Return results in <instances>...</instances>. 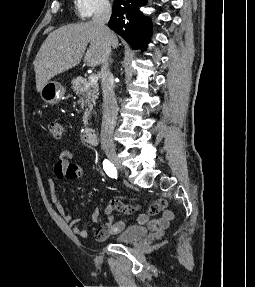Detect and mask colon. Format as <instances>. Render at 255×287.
I'll return each mask as SVG.
<instances>
[{
	"label": "colon",
	"mask_w": 255,
	"mask_h": 287,
	"mask_svg": "<svg viewBox=\"0 0 255 287\" xmlns=\"http://www.w3.org/2000/svg\"><path fill=\"white\" fill-rule=\"evenodd\" d=\"M48 129L54 138H60L64 131L63 125L60 122H50Z\"/></svg>",
	"instance_id": "colon-1"
}]
</instances>
